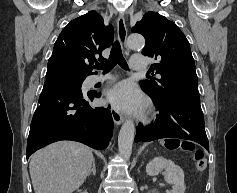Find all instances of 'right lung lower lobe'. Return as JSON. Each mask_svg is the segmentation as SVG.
Masks as SVG:
<instances>
[{"label": "right lung lower lobe", "mask_w": 237, "mask_h": 193, "mask_svg": "<svg viewBox=\"0 0 237 193\" xmlns=\"http://www.w3.org/2000/svg\"><path fill=\"white\" fill-rule=\"evenodd\" d=\"M100 94L82 91L63 82L46 81L34 113L27 158L36 150L59 140H73L94 149H105L112 137L110 107H91L90 100Z\"/></svg>", "instance_id": "1"}]
</instances>
